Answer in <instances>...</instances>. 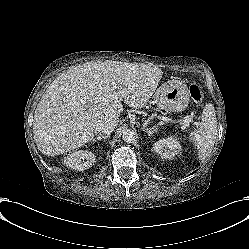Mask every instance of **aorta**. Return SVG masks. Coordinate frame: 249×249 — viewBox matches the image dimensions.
<instances>
[{
    "label": "aorta",
    "instance_id": "obj_1",
    "mask_svg": "<svg viewBox=\"0 0 249 249\" xmlns=\"http://www.w3.org/2000/svg\"><path fill=\"white\" fill-rule=\"evenodd\" d=\"M122 139L126 143H134L137 139V133L133 129H125L122 132Z\"/></svg>",
    "mask_w": 249,
    "mask_h": 249
}]
</instances>
